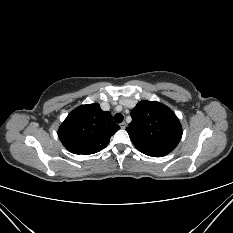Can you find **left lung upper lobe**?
<instances>
[{
  "instance_id": "1",
  "label": "left lung upper lobe",
  "mask_w": 233,
  "mask_h": 233,
  "mask_svg": "<svg viewBox=\"0 0 233 233\" xmlns=\"http://www.w3.org/2000/svg\"><path fill=\"white\" fill-rule=\"evenodd\" d=\"M126 131L134 146L152 157L170 153L182 137V126L168 107L157 101H141L131 111Z\"/></svg>"
}]
</instances>
